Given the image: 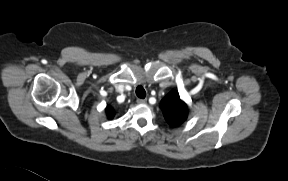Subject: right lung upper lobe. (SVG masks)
Segmentation results:
<instances>
[{"label": "right lung upper lobe", "mask_w": 288, "mask_h": 181, "mask_svg": "<svg viewBox=\"0 0 288 181\" xmlns=\"http://www.w3.org/2000/svg\"><path fill=\"white\" fill-rule=\"evenodd\" d=\"M106 111H107V116L109 119H112L114 117V111L113 109L110 108V106H107L106 108Z\"/></svg>", "instance_id": "cb5924a9"}]
</instances>
